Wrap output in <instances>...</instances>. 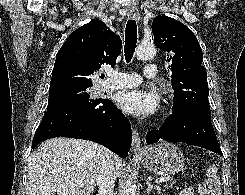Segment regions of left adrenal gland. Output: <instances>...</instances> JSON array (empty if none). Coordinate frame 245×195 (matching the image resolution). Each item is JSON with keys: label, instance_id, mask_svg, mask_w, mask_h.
<instances>
[{"label": "left adrenal gland", "instance_id": "1", "mask_svg": "<svg viewBox=\"0 0 245 195\" xmlns=\"http://www.w3.org/2000/svg\"><path fill=\"white\" fill-rule=\"evenodd\" d=\"M146 185H147V188H146V192L147 194H149L151 192V190L155 189L157 190V192H160L161 188L159 186H155L153 185L149 180L146 179Z\"/></svg>", "mask_w": 245, "mask_h": 195}]
</instances>
